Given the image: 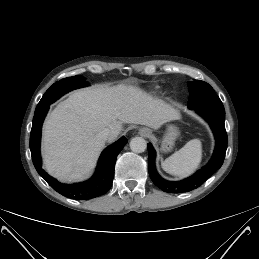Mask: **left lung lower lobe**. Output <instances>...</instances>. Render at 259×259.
I'll return each instance as SVG.
<instances>
[{
  "label": "left lung lower lobe",
  "instance_id": "1",
  "mask_svg": "<svg viewBox=\"0 0 259 259\" xmlns=\"http://www.w3.org/2000/svg\"><path fill=\"white\" fill-rule=\"evenodd\" d=\"M189 109L195 110L209 123L216 140L215 150L209 163L201 170L182 181L172 182L164 180L157 173L154 164L156 153L152 145L148 143V170L150 178L157 187L167 193L178 194L198 188L221 167L225 158L228 139L224 124L225 110L222 102L193 106L189 107Z\"/></svg>",
  "mask_w": 259,
  "mask_h": 259
}]
</instances>
